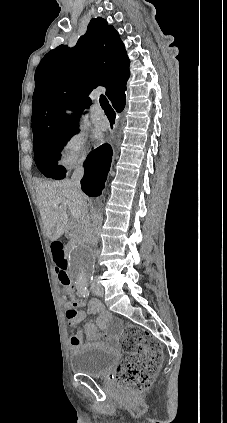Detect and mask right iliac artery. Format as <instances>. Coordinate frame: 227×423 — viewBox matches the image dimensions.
Segmentation results:
<instances>
[{"instance_id": "obj_1", "label": "right iliac artery", "mask_w": 227, "mask_h": 423, "mask_svg": "<svg viewBox=\"0 0 227 423\" xmlns=\"http://www.w3.org/2000/svg\"><path fill=\"white\" fill-rule=\"evenodd\" d=\"M78 291L84 296V297H88L89 296V290H88V286L86 284H82L79 285L78 287Z\"/></svg>"}]
</instances>
